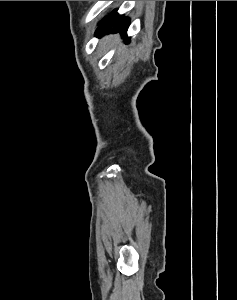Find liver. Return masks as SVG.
Wrapping results in <instances>:
<instances>
[{
  "label": "liver",
  "mask_w": 237,
  "mask_h": 300,
  "mask_svg": "<svg viewBox=\"0 0 237 300\" xmlns=\"http://www.w3.org/2000/svg\"><path fill=\"white\" fill-rule=\"evenodd\" d=\"M118 41H120L119 35H107V37L101 39L100 47H103V49H110V47L116 45ZM120 51H122V49H120Z\"/></svg>",
  "instance_id": "6515ba94"
}]
</instances>
